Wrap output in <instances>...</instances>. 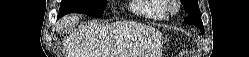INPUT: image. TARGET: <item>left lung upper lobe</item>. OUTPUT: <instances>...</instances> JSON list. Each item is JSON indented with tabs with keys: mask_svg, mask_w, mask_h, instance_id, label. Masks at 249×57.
Here are the masks:
<instances>
[{
	"mask_svg": "<svg viewBox=\"0 0 249 57\" xmlns=\"http://www.w3.org/2000/svg\"><path fill=\"white\" fill-rule=\"evenodd\" d=\"M181 2L185 8V12L188 14L185 22L188 24H193L196 27L200 28L201 31H203L204 27L201 20L197 0H181Z\"/></svg>",
	"mask_w": 249,
	"mask_h": 57,
	"instance_id": "obj_1",
	"label": "left lung upper lobe"
}]
</instances>
